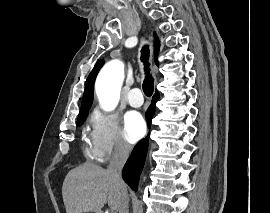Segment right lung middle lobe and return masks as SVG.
Here are the masks:
<instances>
[{"mask_svg": "<svg viewBox=\"0 0 270 213\" xmlns=\"http://www.w3.org/2000/svg\"><path fill=\"white\" fill-rule=\"evenodd\" d=\"M86 116H87V113L79 114L78 120H77V125H80L85 120Z\"/></svg>", "mask_w": 270, "mask_h": 213, "instance_id": "obj_1", "label": "right lung middle lobe"}]
</instances>
